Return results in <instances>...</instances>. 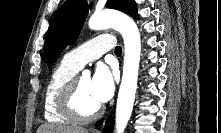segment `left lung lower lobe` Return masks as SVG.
Returning <instances> with one entry per match:
<instances>
[{"label": "left lung lower lobe", "mask_w": 221, "mask_h": 133, "mask_svg": "<svg viewBox=\"0 0 221 133\" xmlns=\"http://www.w3.org/2000/svg\"><path fill=\"white\" fill-rule=\"evenodd\" d=\"M101 124H102V121H99V122L96 123V125H98V126L101 125ZM113 124H114L113 118L110 116V117L107 119V121H106V125H105V127H104L103 132H104V133H112Z\"/></svg>", "instance_id": "1"}]
</instances>
